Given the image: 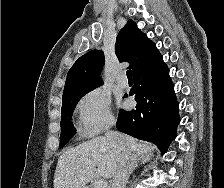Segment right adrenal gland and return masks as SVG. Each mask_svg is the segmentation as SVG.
Segmentation results:
<instances>
[{"instance_id":"obj_1","label":"right adrenal gland","mask_w":224,"mask_h":188,"mask_svg":"<svg viewBox=\"0 0 224 188\" xmlns=\"http://www.w3.org/2000/svg\"><path fill=\"white\" fill-rule=\"evenodd\" d=\"M151 158L150 155H134L133 156V160H132V169H131V173L134 171V169L136 167H138L139 164H144L145 162L149 161Z\"/></svg>"}]
</instances>
